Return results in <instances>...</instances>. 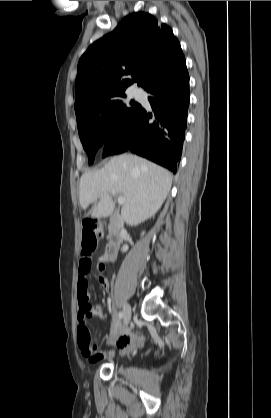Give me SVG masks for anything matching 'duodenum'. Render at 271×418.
<instances>
[{
    "label": "duodenum",
    "mask_w": 271,
    "mask_h": 418,
    "mask_svg": "<svg viewBox=\"0 0 271 418\" xmlns=\"http://www.w3.org/2000/svg\"><path fill=\"white\" fill-rule=\"evenodd\" d=\"M123 233L124 230L118 223H114L110 226L109 239L105 251V259L107 261H111L115 258L122 241Z\"/></svg>",
    "instance_id": "duodenum-1"
}]
</instances>
